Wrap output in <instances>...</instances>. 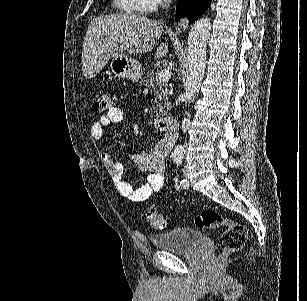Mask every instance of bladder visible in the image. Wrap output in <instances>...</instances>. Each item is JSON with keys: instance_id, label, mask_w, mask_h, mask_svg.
Wrapping results in <instances>:
<instances>
[{"instance_id": "obj_1", "label": "bladder", "mask_w": 307, "mask_h": 301, "mask_svg": "<svg viewBox=\"0 0 307 301\" xmlns=\"http://www.w3.org/2000/svg\"><path fill=\"white\" fill-rule=\"evenodd\" d=\"M156 250L171 253L190 252L195 250L203 242V236L194 228H176L172 232L151 236Z\"/></svg>"}]
</instances>
